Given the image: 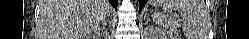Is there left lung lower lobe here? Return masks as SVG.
<instances>
[{"label": "left lung lower lobe", "mask_w": 249, "mask_h": 39, "mask_svg": "<svg viewBox=\"0 0 249 39\" xmlns=\"http://www.w3.org/2000/svg\"><path fill=\"white\" fill-rule=\"evenodd\" d=\"M147 2V0H140V11L143 8V6L145 5V3Z\"/></svg>", "instance_id": "left-lung-lower-lobe-1"}]
</instances>
